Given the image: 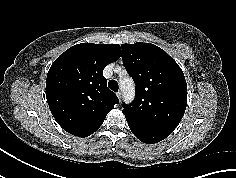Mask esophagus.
Here are the masks:
<instances>
[{
  "label": "esophagus",
  "mask_w": 236,
  "mask_h": 178,
  "mask_svg": "<svg viewBox=\"0 0 236 178\" xmlns=\"http://www.w3.org/2000/svg\"><path fill=\"white\" fill-rule=\"evenodd\" d=\"M117 97H118V99H119V101H121V98H122V95H121V92H117Z\"/></svg>",
  "instance_id": "1"
}]
</instances>
